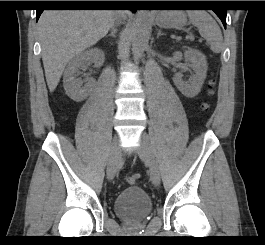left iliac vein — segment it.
I'll use <instances>...</instances> for the list:
<instances>
[{
    "label": "left iliac vein",
    "instance_id": "left-iliac-vein-1",
    "mask_svg": "<svg viewBox=\"0 0 265 245\" xmlns=\"http://www.w3.org/2000/svg\"><path fill=\"white\" fill-rule=\"evenodd\" d=\"M137 152L139 157L148 163L152 183L155 186H159L160 171L158 161L156 159L149 137L145 133L141 134L140 146Z\"/></svg>",
    "mask_w": 265,
    "mask_h": 245
}]
</instances>
